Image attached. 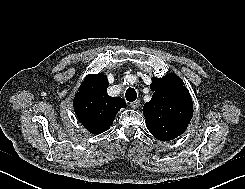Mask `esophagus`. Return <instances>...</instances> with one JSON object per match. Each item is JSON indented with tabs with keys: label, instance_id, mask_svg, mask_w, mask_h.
Masks as SVG:
<instances>
[{
	"label": "esophagus",
	"instance_id": "esophagus-1",
	"mask_svg": "<svg viewBox=\"0 0 245 189\" xmlns=\"http://www.w3.org/2000/svg\"><path fill=\"white\" fill-rule=\"evenodd\" d=\"M130 106H131L133 109H138L139 106H140V101H139V100L133 101V102L130 103Z\"/></svg>",
	"mask_w": 245,
	"mask_h": 189
}]
</instances>
